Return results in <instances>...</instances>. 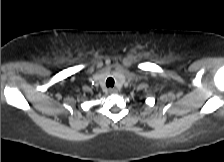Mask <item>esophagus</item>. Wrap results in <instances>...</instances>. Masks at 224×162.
Here are the masks:
<instances>
[{"mask_svg":"<svg viewBox=\"0 0 224 162\" xmlns=\"http://www.w3.org/2000/svg\"><path fill=\"white\" fill-rule=\"evenodd\" d=\"M108 92H109L110 94H114V93H117L118 91H117V89H115V88H109V89H108Z\"/></svg>","mask_w":224,"mask_h":162,"instance_id":"1","label":"esophagus"}]
</instances>
